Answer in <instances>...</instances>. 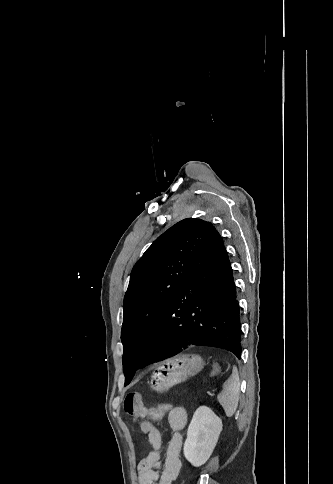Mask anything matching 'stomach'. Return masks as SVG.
Wrapping results in <instances>:
<instances>
[{"instance_id":"obj_1","label":"stomach","mask_w":333,"mask_h":484,"mask_svg":"<svg viewBox=\"0 0 333 484\" xmlns=\"http://www.w3.org/2000/svg\"><path fill=\"white\" fill-rule=\"evenodd\" d=\"M204 362L198 354H180L158 364L151 375V388L165 393L171 387L196 375Z\"/></svg>"}]
</instances>
